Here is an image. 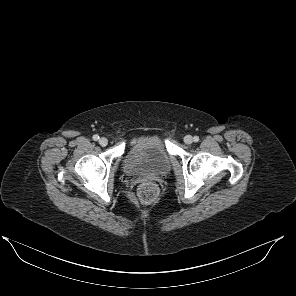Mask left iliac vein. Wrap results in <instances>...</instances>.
<instances>
[{
	"mask_svg": "<svg viewBox=\"0 0 296 296\" xmlns=\"http://www.w3.org/2000/svg\"><path fill=\"white\" fill-rule=\"evenodd\" d=\"M184 142L186 143V144H192V142H193V137L191 136V135H186L185 137H184Z\"/></svg>",
	"mask_w": 296,
	"mask_h": 296,
	"instance_id": "obj_1",
	"label": "left iliac vein"
}]
</instances>
